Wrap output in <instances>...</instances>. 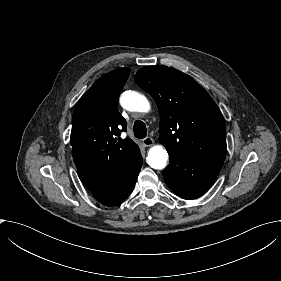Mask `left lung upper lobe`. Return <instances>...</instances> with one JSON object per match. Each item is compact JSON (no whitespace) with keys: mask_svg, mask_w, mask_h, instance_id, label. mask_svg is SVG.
Wrapping results in <instances>:
<instances>
[{"mask_svg":"<svg viewBox=\"0 0 281 281\" xmlns=\"http://www.w3.org/2000/svg\"><path fill=\"white\" fill-rule=\"evenodd\" d=\"M135 81L156 101L159 141L168 152L194 160H225L224 118L193 78L167 66H146Z\"/></svg>","mask_w":281,"mask_h":281,"instance_id":"1","label":"left lung upper lobe"}]
</instances>
